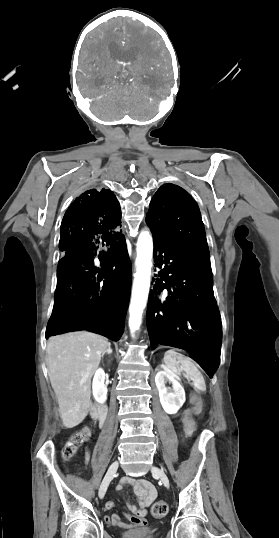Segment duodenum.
Wrapping results in <instances>:
<instances>
[{
	"instance_id": "410a0bca",
	"label": "duodenum",
	"mask_w": 279,
	"mask_h": 538,
	"mask_svg": "<svg viewBox=\"0 0 279 538\" xmlns=\"http://www.w3.org/2000/svg\"><path fill=\"white\" fill-rule=\"evenodd\" d=\"M107 406L104 404V401H98L93 402L91 404V417L93 418V422L96 424V427L98 429H102L104 427V423L106 422L107 413H106ZM100 415V418H98Z\"/></svg>"
}]
</instances>
